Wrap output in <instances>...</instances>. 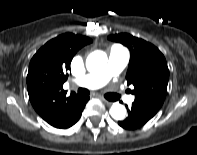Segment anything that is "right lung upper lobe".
<instances>
[{"mask_svg": "<svg viewBox=\"0 0 197 155\" xmlns=\"http://www.w3.org/2000/svg\"><path fill=\"white\" fill-rule=\"evenodd\" d=\"M88 37L62 34L48 41L30 61L27 75L29 99L36 112L50 125L59 123L80 96L67 95L63 83L75 53L91 43Z\"/></svg>", "mask_w": 197, "mask_h": 155, "instance_id": "cb5924a9", "label": "right lung upper lobe"}]
</instances>
